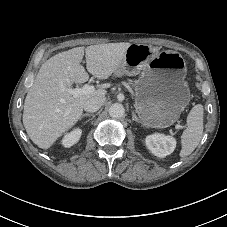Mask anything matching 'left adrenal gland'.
Here are the masks:
<instances>
[{
  "label": "left adrenal gland",
  "mask_w": 227,
  "mask_h": 227,
  "mask_svg": "<svg viewBox=\"0 0 227 227\" xmlns=\"http://www.w3.org/2000/svg\"><path fill=\"white\" fill-rule=\"evenodd\" d=\"M132 120L136 121V122H139V119L137 118V116H136L134 111H132Z\"/></svg>",
  "instance_id": "1"
}]
</instances>
